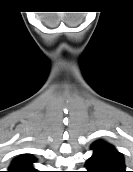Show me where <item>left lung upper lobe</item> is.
<instances>
[{
	"label": "left lung upper lobe",
	"mask_w": 133,
	"mask_h": 172,
	"mask_svg": "<svg viewBox=\"0 0 133 172\" xmlns=\"http://www.w3.org/2000/svg\"><path fill=\"white\" fill-rule=\"evenodd\" d=\"M92 149L93 155L86 163L87 172H126L123 155L113 146L98 141Z\"/></svg>",
	"instance_id": "left-lung-upper-lobe-1"
}]
</instances>
